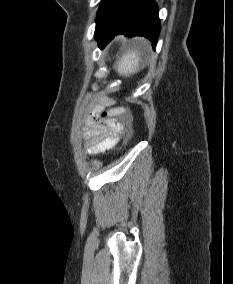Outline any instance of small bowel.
I'll return each instance as SVG.
<instances>
[{
    "mask_svg": "<svg viewBox=\"0 0 233 284\" xmlns=\"http://www.w3.org/2000/svg\"><path fill=\"white\" fill-rule=\"evenodd\" d=\"M104 103L110 104L109 99H104ZM131 132V119L124 115L119 119L109 118L104 123L97 122L90 117L86 121L84 128V139L87 153L90 155L105 152L114 147L122 136Z\"/></svg>",
    "mask_w": 233,
    "mask_h": 284,
    "instance_id": "obj_1",
    "label": "small bowel"
}]
</instances>
